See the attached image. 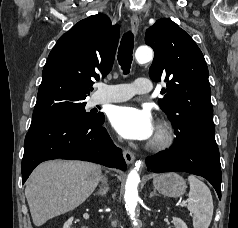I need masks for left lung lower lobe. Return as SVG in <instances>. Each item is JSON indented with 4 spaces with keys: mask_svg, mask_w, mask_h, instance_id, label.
<instances>
[{
    "mask_svg": "<svg viewBox=\"0 0 238 228\" xmlns=\"http://www.w3.org/2000/svg\"><path fill=\"white\" fill-rule=\"evenodd\" d=\"M171 149L148 157L150 172H187L206 178L221 199V164L214 132L175 133Z\"/></svg>",
    "mask_w": 238,
    "mask_h": 228,
    "instance_id": "0a47b994",
    "label": "left lung lower lobe"
}]
</instances>
